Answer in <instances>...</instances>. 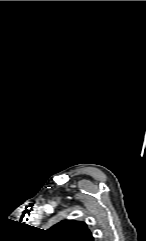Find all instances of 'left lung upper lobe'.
<instances>
[{
    "mask_svg": "<svg viewBox=\"0 0 146 241\" xmlns=\"http://www.w3.org/2000/svg\"><path fill=\"white\" fill-rule=\"evenodd\" d=\"M51 241H93L85 222L63 220L46 231Z\"/></svg>",
    "mask_w": 146,
    "mask_h": 241,
    "instance_id": "1",
    "label": "left lung upper lobe"
}]
</instances>
